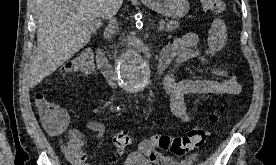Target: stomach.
<instances>
[{"instance_id":"1","label":"stomach","mask_w":276,"mask_h":165,"mask_svg":"<svg viewBox=\"0 0 276 165\" xmlns=\"http://www.w3.org/2000/svg\"><path fill=\"white\" fill-rule=\"evenodd\" d=\"M145 5L170 18H180L189 10L188 0H142Z\"/></svg>"}]
</instances>
